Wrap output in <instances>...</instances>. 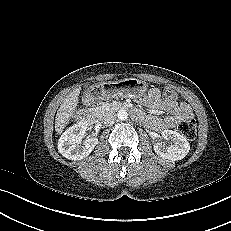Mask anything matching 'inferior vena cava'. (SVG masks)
Segmentation results:
<instances>
[{"label": "inferior vena cava", "instance_id": "obj_1", "mask_svg": "<svg viewBox=\"0 0 231 231\" xmlns=\"http://www.w3.org/2000/svg\"><path fill=\"white\" fill-rule=\"evenodd\" d=\"M116 114L106 113L102 117V123L106 126L112 125L116 121Z\"/></svg>", "mask_w": 231, "mask_h": 231}]
</instances>
